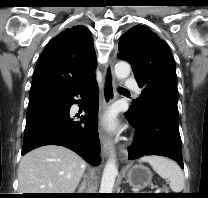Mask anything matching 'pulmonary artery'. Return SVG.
Returning a JSON list of instances; mask_svg holds the SVG:
<instances>
[{
  "label": "pulmonary artery",
  "instance_id": "obj_1",
  "mask_svg": "<svg viewBox=\"0 0 208 198\" xmlns=\"http://www.w3.org/2000/svg\"><path fill=\"white\" fill-rule=\"evenodd\" d=\"M125 86L129 89H132L137 95H139L141 93L140 88L138 87V85L136 84V82L133 79H127L125 81Z\"/></svg>",
  "mask_w": 208,
  "mask_h": 198
}]
</instances>
